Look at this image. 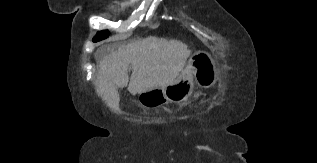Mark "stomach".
Masks as SVG:
<instances>
[{
    "mask_svg": "<svg viewBox=\"0 0 317 163\" xmlns=\"http://www.w3.org/2000/svg\"><path fill=\"white\" fill-rule=\"evenodd\" d=\"M218 72L216 62L209 53L197 52L172 83L138 94V102L148 109L184 102L192 94L194 82L200 87L209 88L216 83Z\"/></svg>",
    "mask_w": 317,
    "mask_h": 163,
    "instance_id": "stomach-1",
    "label": "stomach"
}]
</instances>
